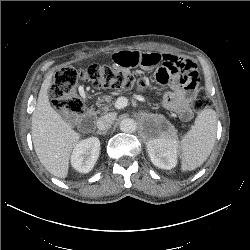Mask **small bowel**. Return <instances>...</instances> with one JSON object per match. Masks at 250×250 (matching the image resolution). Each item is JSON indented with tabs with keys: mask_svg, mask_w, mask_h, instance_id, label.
Wrapping results in <instances>:
<instances>
[{
	"mask_svg": "<svg viewBox=\"0 0 250 250\" xmlns=\"http://www.w3.org/2000/svg\"><path fill=\"white\" fill-rule=\"evenodd\" d=\"M114 64L121 68L155 69V79L171 90L163 97L164 106L187 121L191 118L190 101L201 78L195 63L171 54L119 51L113 55Z\"/></svg>",
	"mask_w": 250,
	"mask_h": 250,
	"instance_id": "1",
	"label": "small bowel"
}]
</instances>
